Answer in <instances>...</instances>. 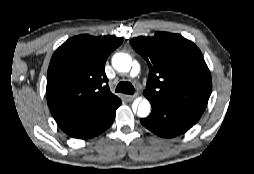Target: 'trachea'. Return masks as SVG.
Returning <instances> with one entry per match:
<instances>
[{
	"label": "trachea",
	"instance_id": "trachea-1",
	"mask_svg": "<svg viewBox=\"0 0 254 174\" xmlns=\"http://www.w3.org/2000/svg\"><path fill=\"white\" fill-rule=\"evenodd\" d=\"M115 91L121 92V93H126V94H133L135 89L131 83L122 81L117 85Z\"/></svg>",
	"mask_w": 254,
	"mask_h": 174
}]
</instances>
